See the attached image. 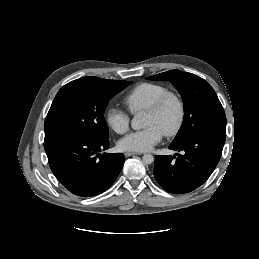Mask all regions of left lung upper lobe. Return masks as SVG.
Instances as JSON below:
<instances>
[{
  "instance_id": "5c2ea615",
  "label": "left lung upper lobe",
  "mask_w": 259,
  "mask_h": 259,
  "mask_svg": "<svg viewBox=\"0 0 259 259\" xmlns=\"http://www.w3.org/2000/svg\"><path fill=\"white\" fill-rule=\"evenodd\" d=\"M154 81H170L182 96L184 120L172 144L183 143L200 132L226 133L224 109L210 84L197 75L171 70L148 77Z\"/></svg>"
}]
</instances>
